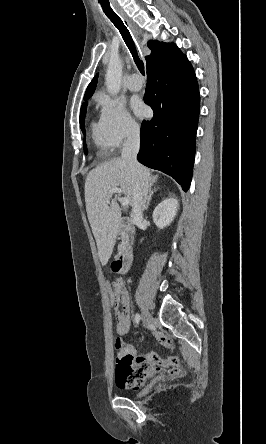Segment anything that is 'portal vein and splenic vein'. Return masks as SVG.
<instances>
[{
    "instance_id": "1",
    "label": "portal vein and splenic vein",
    "mask_w": 266,
    "mask_h": 444,
    "mask_svg": "<svg viewBox=\"0 0 266 444\" xmlns=\"http://www.w3.org/2000/svg\"><path fill=\"white\" fill-rule=\"evenodd\" d=\"M114 193L121 194L122 193V189L118 188V187H114V188L109 190L108 194H109V196H111ZM120 203H121L122 206H127L129 204V199L127 197H122L120 199Z\"/></svg>"
}]
</instances>
